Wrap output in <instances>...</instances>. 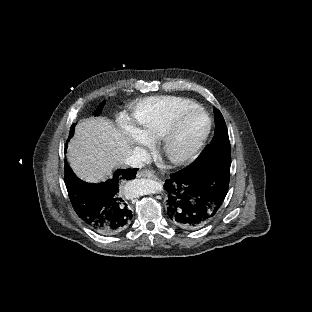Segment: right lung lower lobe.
Wrapping results in <instances>:
<instances>
[{"instance_id": "1", "label": "right lung lower lobe", "mask_w": 312, "mask_h": 312, "mask_svg": "<svg viewBox=\"0 0 312 312\" xmlns=\"http://www.w3.org/2000/svg\"><path fill=\"white\" fill-rule=\"evenodd\" d=\"M64 168L69 198L83 223L103 235L123 232L133 217L125 192L138 169H118L111 179L94 184L77 178L66 160Z\"/></svg>"}]
</instances>
